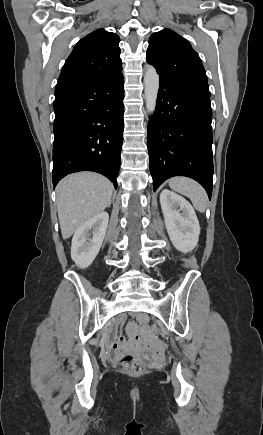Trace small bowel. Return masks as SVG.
Masks as SVG:
<instances>
[{
  "label": "small bowel",
  "instance_id": "small-bowel-1",
  "mask_svg": "<svg viewBox=\"0 0 263 435\" xmlns=\"http://www.w3.org/2000/svg\"><path fill=\"white\" fill-rule=\"evenodd\" d=\"M123 320L124 318H121V321ZM148 320L149 318L146 314H140L138 316V321L141 324H146ZM132 330H136V324H132ZM143 339L145 341H150L149 347H147V343H142L141 336H132L131 341H127L125 337L119 336L117 341L111 344V347L115 351H139L142 348V356H151L152 361H155L157 364H162L164 362V357L161 354L163 343L161 341H156V339H158V334H156V332H145L143 334Z\"/></svg>",
  "mask_w": 263,
  "mask_h": 435
}]
</instances>
